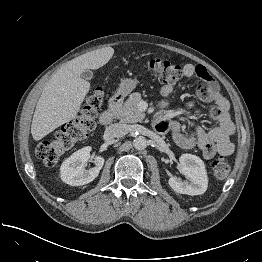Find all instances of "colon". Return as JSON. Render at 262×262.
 <instances>
[{
  "label": "colon",
  "instance_id": "5ec220e1",
  "mask_svg": "<svg viewBox=\"0 0 262 262\" xmlns=\"http://www.w3.org/2000/svg\"><path fill=\"white\" fill-rule=\"evenodd\" d=\"M143 69L157 82L174 85L183 79L182 67L160 59H150L143 63ZM102 94L94 91L86 100L78 117L65 124L56 139L41 142L36 149L38 157L48 166L55 165L69 150L95 128V118L101 103ZM230 171V162L226 154H221L213 163L216 179H225Z\"/></svg>",
  "mask_w": 262,
  "mask_h": 262
}]
</instances>
